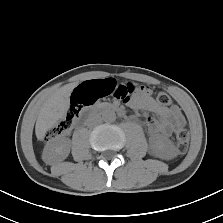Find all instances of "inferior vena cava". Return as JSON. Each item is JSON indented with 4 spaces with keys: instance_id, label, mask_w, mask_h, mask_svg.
<instances>
[{
    "instance_id": "602c4592",
    "label": "inferior vena cava",
    "mask_w": 223,
    "mask_h": 223,
    "mask_svg": "<svg viewBox=\"0 0 223 223\" xmlns=\"http://www.w3.org/2000/svg\"><path fill=\"white\" fill-rule=\"evenodd\" d=\"M101 121V117L99 115H93L88 119V126H94Z\"/></svg>"
}]
</instances>
